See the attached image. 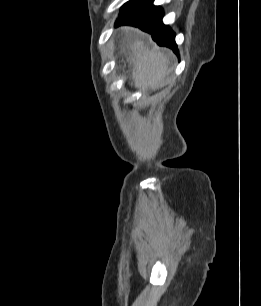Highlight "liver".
Masks as SVG:
<instances>
[{
  "mask_svg": "<svg viewBox=\"0 0 261 306\" xmlns=\"http://www.w3.org/2000/svg\"><path fill=\"white\" fill-rule=\"evenodd\" d=\"M133 63L132 80L136 88L154 89L164 84L168 76V57L156 46L150 48L143 41L130 45Z\"/></svg>",
  "mask_w": 261,
  "mask_h": 306,
  "instance_id": "6515ba94",
  "label": "liver"
}]
</instances>
